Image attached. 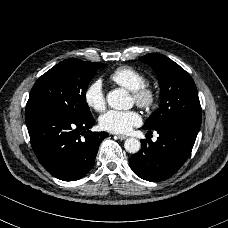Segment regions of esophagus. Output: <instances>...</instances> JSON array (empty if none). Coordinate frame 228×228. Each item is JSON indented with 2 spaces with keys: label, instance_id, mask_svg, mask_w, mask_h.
Here are the masks:
<instances>
[{
  "label": "esophagus",
  "instance_id": "esophagus-1",
  "mask_svg": "<svg viewBox=\"0 0 228 228\" xmlns=\"http://www.w3.org/2000/svg\"><path fill=\"white\" fill-rule=\"evenodd\" d=\"M120 140H125L127 138L126 135H118L117 136Z\"/></svg>",
  "mask_w": 228,
  "mask_h": 228
}]
</instances>
